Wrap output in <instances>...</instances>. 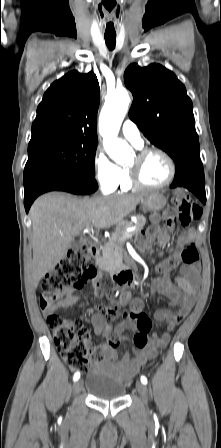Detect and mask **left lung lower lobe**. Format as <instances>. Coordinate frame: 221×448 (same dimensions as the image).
Returning a JSON list of instances; mask_svg holds the SVG:
<instances>
[{"label": "left lung lower lobe", "mask_w": 221, "mask_h": 448, "mask_svg": "<svg viewBox=\"0 0 221 448\" xmlns=\"http://www.w3.org/2000/svg\"><path fill=\"white\" fill-rule=\"evenodd\" d=\"M170 187L187 188L205 204V177L202 162H193L176 169L175 178Z\"/></svg>", "instance_id": "obj_1"}]
</instances>
